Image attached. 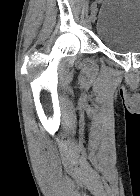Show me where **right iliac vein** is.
Instances as JSON below:
<instances>
[{"mask_svg":"<svg viewBox=\"0 0 140 196\" xmlns=\"http://www.w3.org/2000/svg\"><path fill=\"white\" fill-rule=\"evenodd\" d=\"M90 18H91L92 23H94V22H95V20H96V11H95V8H94V9H92V12H91Z\"/></svg>","mask_w":140,"mask_h":196,"instance_id":"obj_1","label":"right iliac vein"}]
</instances>
